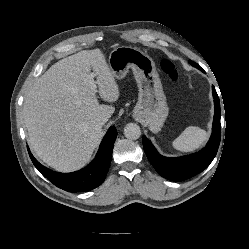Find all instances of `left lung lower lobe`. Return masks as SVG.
Here are the masks:
<instances>
[{"mask_svg": "<svg viewBox=\"0 0 249 249\" xmlns=\"http://www.w3.org/2000/svg\"><path fill=\"white\" fill-rule=\"evenodd\" d=\"M199 69L203 71L202 68ZM212 94L215 105L212 135L206 147L199 152L188 156L167 158L161 156L145 136L142 137L144 151L149 161L155 170L166 179L183 181L191 178L207 168L216 156L221 137V111L219 97L214 86H212Z\"/></svg>", "mask_w": 249, "mask_h": 249, "instance_id": "left-lung-lower-lobe-1", "label": "left lung lower lobe"}]
</instances>
